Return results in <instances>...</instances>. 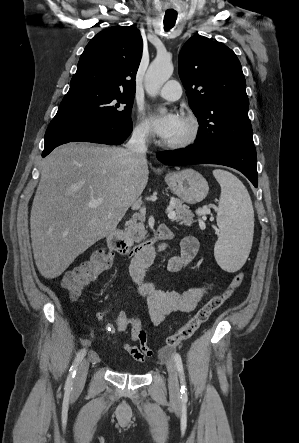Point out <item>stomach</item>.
Wrapping results in <instances>:
<instances>
[{
    "instance_id": "obj_1",
    "label": "stomach",
    "mask_w": 299,
    "mask_h": 443,
    "mask_svg": "<svg viewBox=\"0 0 299 443\" xmlns=\"http://www.w3.org/2000/svg\"><path fill=\"white\" fill-rule=\"evenodd\" d=\"M165 181L171 191L188 204L202 201L209 191L205 178L191 168L168 173Z\"/></svg>"
}]
</instances>
